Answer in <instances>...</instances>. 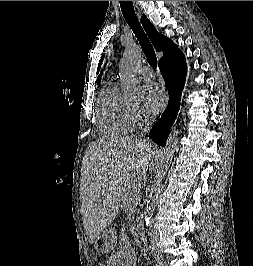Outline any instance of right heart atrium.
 <instances>
[{
	"label": "right heart atrium",
	"mask_w": 253,
	"mask_h": 266,
	"mask_svg": "<svg viewBox=\"0 0 253 266\" xmlns=\"http://www.w3.org/2000/svg\"><path fill=\"white\" fill-rule=\"evenodd\" d=\"M131 114L134 119L135 125H140L149 118V114L139 106H131Z\"/></svg>",
	"instance_id": "d8ad5b80"
}]
</instances>
